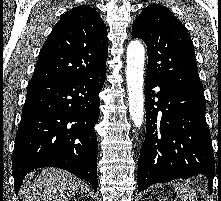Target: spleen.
Masks as SVG:
<instances>
[{
    "instance_id": "obj_1",
    "label": "spleen",
    "mask_w": 221,
    "mask_h": 201,
    "mask_svg": "<svg viewBox=\"0 0 221 201\" xmlns=\"http://www.w3.org/2000/svg\"><path fill=\"white\" fill-rule=\"evenodd\" d=\"M174 188L182 201H197V195L193 188L183 183L174 184Z\"/></svg>"
}]
</instances>
